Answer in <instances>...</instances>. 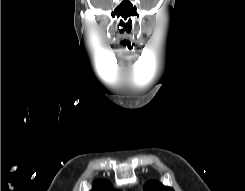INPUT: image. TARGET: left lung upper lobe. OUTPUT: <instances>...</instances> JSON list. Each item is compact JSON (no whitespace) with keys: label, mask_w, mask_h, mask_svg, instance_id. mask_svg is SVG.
<instances>
[{"label":"left lung upper lobe","mask_w":245,"mask_h":191,"mask_svg":"<svg viewBox=\"0 0 245 191\" xmlns=\"http://www.w3.org/2000/svg\"><path fill=\"white\" fill-rule=\"evenodd\" d=\"M144 191H174L170 187L163 186L157 181H151L144 186Z\"/></svg>","instance_id":"1"}]
</instances>
